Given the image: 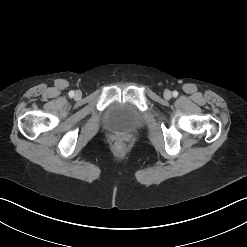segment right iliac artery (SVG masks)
I'll return each instance as SVG.
<instances>
[{"instance_id": "obj_1", "label": "right iliac artery", "mask_w": 247, "mask_h": 247, "mask_svg": "<svg viewBox=\"0 0 247 247\" xmlns=\"http://www.w3.org/2000/svg\"><path fill=\"white\" fill-rule=\"evenodd\" d=\"M69 96H70V97H73V96H74V91H70V92H69Z\"/></svg>"}]
</instances>
